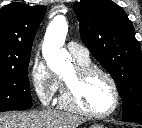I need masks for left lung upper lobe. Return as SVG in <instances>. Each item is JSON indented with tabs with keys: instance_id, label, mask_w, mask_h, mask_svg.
<instances>
[{
	"instance_id": "obj_1",
	"label": "left lung upper lobe",
	"mask_w": 142,
	"mask_h": 128,
	"mask_svg": "<svg viewBox=\"0 0 142 128\" xmlns=\"http://www.w3.org/2000/svg\"><path fill=\"white\" fill-rule=\"evenodd\" d=\"M81 39L117 83L123 121L142 123V57L132 22L111 0L74 3Z\"/></svg>"
}]
</instances>
